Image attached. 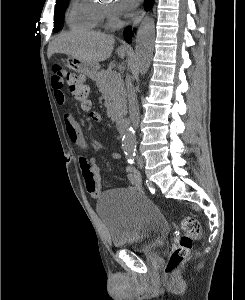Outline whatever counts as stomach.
I'll return each instance as SVG.
<instances>
[{"label": "stomach", "instance_id": "1", "mask_svg": "<svg viewBox=\"0 0 245 300\" xmlns=\"http://www.w3.org/2000/svg\"><path fill=\"white\" fill-rule=\"evenodd\" d=\"M66 62L70 69L81 73L91 79H96L98 75L99 65L97 63L82 61L73 56H68Z\"/></svg>", "mask_w": 245, "mask_h": 300}]
</instances>
